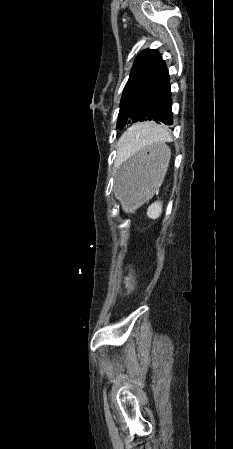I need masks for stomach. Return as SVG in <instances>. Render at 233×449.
Returning <instances> with one entry per match:
<instances>
[{
    "label": "stomach",
    "instance_id": "1",
    "mask_svg": "<svg viewBox=\"0 0 233 449\" xmlns=\"http://www.w3.org/2000/svg\"><path fill=\"white\" fill-rule=\"evenodd\" d=\"M169 155L167 146L155 144L123 165L118 179L119 192H116L115 199L121 201L126 212L135 210L145 201H151L162 182Z\"/></svg>",
    "mask_w": 233,
    "mask_h": 449
}]
</instances>
